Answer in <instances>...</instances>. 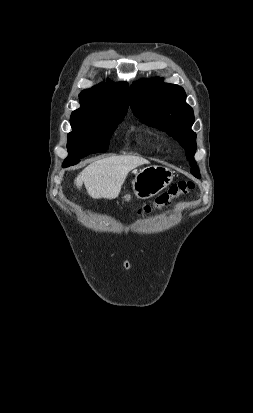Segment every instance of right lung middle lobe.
Wrapping results in <instances>:
<instances>
[{"label":"right lung middle lobe","mask_w":253,"mask_h":413,"mask_svg":"<svg viewBox=\"0 0 253 413\" xmlns=\"http://www.w3.org/2000/svg\"><path fill=\"white\" fill-rule=\"evenodd\" d=\"M124 116L71 122L72 132L68 133L67 143L69 156L63 162V167L75 165L80 162V158L89 154L106 152L111 135Z\"/></svg>","instance_id":"dd1d6c3e"}]
</instances>
